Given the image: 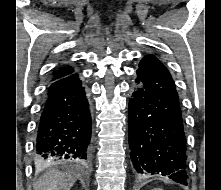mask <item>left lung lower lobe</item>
Listing matches in <instances>:
<instances>
[{"mask_svg": "<svg viewBox=\"0 0 221 190\" xmlns=\"http://www.w3.org/2000/svg\"><path fill=\"white\" fill-rule=\"evenodd\" d=\"M128 136L137 173L187 185L186 138L179 96L165 65L154 55L140 62L129 101Z\"/></svg>", "mask_w": 221, "mask_h": 190, "instance_id": "left-lung-lower-lobe-1", "label": "left lung lower lobe"}]
</instances>
